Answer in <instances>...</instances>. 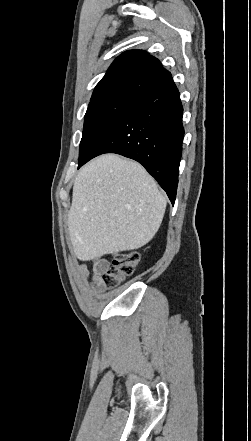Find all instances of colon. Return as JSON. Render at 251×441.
Instances as JSON below:
<instances>
[{
	"instance_id": "colon-1",
	"label": "colon",
	"mask_w": 251,
	"mask_h": 441,
	"mask_svg": "<svg viewBox=\"0 0 251 441\" xmlns=\"http://www.w3.org/2000/svg\"><path fill=\"white\" fill-rule=\"evenodd\" d=\"M140 255L137 251L127 250L115 254L103 272L101 280L107 287H113L131 276L137 267Z\"/></svg>"
}]
</instances>
